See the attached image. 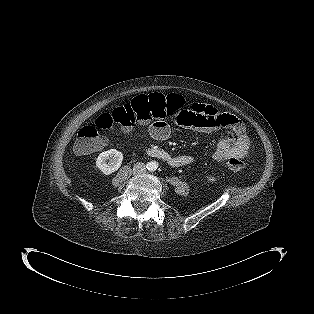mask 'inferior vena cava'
<instances>
[{
  "label": "inferior vena cava",
  "mask_w": 314,
  "mask_h": 314,
  "mask_svg": "<svg viewBox=\"0 0 314 314\" xmlns=\"http://www.w3.org/2000/svg\"><path fill=\"white\" fill-rule=\"evenodd\" d=\"M133 170H134L136 173H143V172L146 171V168H145L144 163L139 162V163H136V164L134 165Z\"/></svg>",
  "instance_id": "inferior-vena-cava-1"
}]
</instances>
